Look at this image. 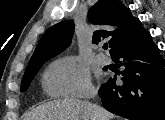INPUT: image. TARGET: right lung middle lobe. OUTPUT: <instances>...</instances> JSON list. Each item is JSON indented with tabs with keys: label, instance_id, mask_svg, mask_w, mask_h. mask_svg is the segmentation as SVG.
<instances>
[{
	"label": "right lung middle lobe",
	"instance_id": "1",
	"mask_svg": "<svg viewBox=\"0 0 165 120\" xmlns=\"http://www.w3.org/2000/svg\"><path fill=\"white\" fill-rule=\"evenodd\" d=\"M48 59H43L27 66L25 74L21 82V89H20L21 92L26 91L28 89L32 79L35 77L36 73L42 67L44 62Z\"/></svg>",
	"mask_w": 165,
	"mask_h": 120
}]
</instances>
